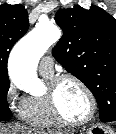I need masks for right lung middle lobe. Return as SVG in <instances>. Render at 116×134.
Masks as SVG:
<instances>
[{
    "label": "right lung middle lobe",
    "instance_id": "obj_1",
    "mask_svg": "<svg viewBox=\"0 0 116 134\" xmlns=\"http://www.w3.org/2000/svg\"><path fill=\"white\" fill-rule=\"evenodd\" d=\"M10 87L8 77H0V119L10 118L12 113L7 103V92Z\"/></svg>",
    "mask_w": 116,
    "mask_h": 134
}]
</instances>
